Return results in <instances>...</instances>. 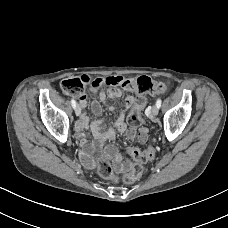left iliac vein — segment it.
Listing matches in <instances>:
<instances>
[{
  "instance_id": "left-iliac-vein-1",
  "label": "left iliac vein",
  "mask_w": 228,
  "mask_h": 228,
  "mask_svg": "<svg viewBox=\"0 0 228 228\" xmlns=\"http://www.w3.org/2000/svg\"><path fill=\"white\" fill-rule=\"evenodd\" d=\"M158 112H159V108L156 105H154L151 110L152 116H157Z\"/></svg>"
}]
</instances>
